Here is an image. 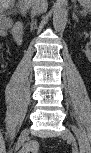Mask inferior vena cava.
I'll return each mask as SVG.
<instances>
[{
	"label": "inferior vena cava",
	"mask_w": 91,
	"mask_h": 153,
	"mask_svg": "<svg viewBox=\"0 0 91 153\" xmlns=\"http://www.w3.org/2000/svg\"><path fill=\"white\" fill-rule=\"evenodd\" d=\"M47 7L48 3L46 0H32V10L34 11L32 16L46 12Z\"/></svg>",
	"instance_id": "602c4592"
}]
</instances>
